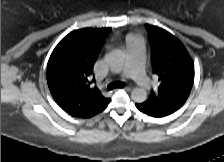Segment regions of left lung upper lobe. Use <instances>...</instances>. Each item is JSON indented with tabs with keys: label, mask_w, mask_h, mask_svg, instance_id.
I'll return each mask as SVG.
<instances>
[{
	"label": "left lung upper lobe",
	"mask_w": 224,
	"mask_h": 162,
	"mask_svg": "<svg viewBox=\"0 0 224 162\" xmlns=\"http://www.w3.org/2000/svg\"><path fill=\"white\" fill-rule=\"evenodd\" d=\"M152 47L153 72L160 85L147 101L146 109L178 110L187 100L194 82V65L184 45L157 26L146 25Z\"/></svg>",
	"instance_id": "1"
}]
</instances>
